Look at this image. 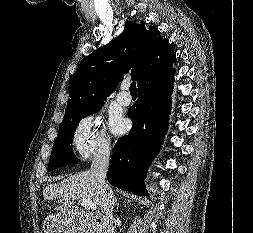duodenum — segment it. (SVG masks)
I'll return each mask as SVG.
<instances>
[{"label": "duodenum", "mask_w": 253, "mask_h": 233, "mask_svg": "<svg viewBox=\"0 0 253 233\" xmlns=\"http://www.w3.org/2000/svg\"><path fill=\"white\" fill-rule=\"evenodd\" d=\"M112 229L111 224L100 215L93 216L87 223L88 233H108Z\"/></svg>", "instance_id": "obj_1"}]
</instances>
